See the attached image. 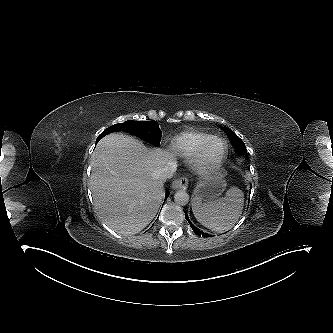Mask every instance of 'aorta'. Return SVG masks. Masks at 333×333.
<instances>
[{
    "label": "aorta",
    "mask_w": 333,
    "mask_h": 333,
    "mask_svg": "<svg viewBox=\"0 0 333 333\" xmlns=\"http://www.w3.org/2000/svg\"><path fill=\"white\" fill-rule=\"evenodd\" d=\"M174 201L178 205L184 206V205L188 204V202H189V194L184 190H179L174 195Z\"/></svg>",
    "instance_id": "762f6f07"
}]
</instances>
